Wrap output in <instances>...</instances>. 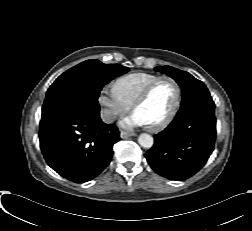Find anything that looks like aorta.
Returning a JSON list of instances; mask_svg holds the SVG:
<instances>
[{
    "instance_id": "1",
    "label": "aorta",
    "mask_w": 252,
    "mask_h": 231,
    "mask_svg": "<svg viewBox=\"0 0 252 231\" xmlns=\"http://www.w3.org/2000/svg\"><path fill=\"white\" fill-rule=\"evenodd\" d=\"M138 143L146 149H149L153 146L154 139L151 135L147 133H142L138 137Z\"/></svg>"
}]
</instances>
